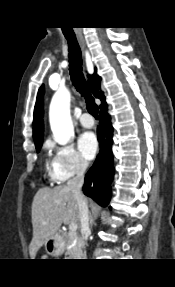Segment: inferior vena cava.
I'll return each mask as SVG.
<instances>
[{
    "mask_svg": "<svg viewBox=\"0 0 175 287\" xmlns=\"http://www.w3.org/2000/svg\"><path fill=\"white\" fill-rule=\"evenodd\" d=\"M86 167L87 164L84 161H81L77 167L76 176L67 182V187L73 192L78 204L81 233L85 239H87L88 235L90 234L88 205L81 191L84 183V173Z\"/></svg>",
    "mask_w": 175,
    "mask_h": 287,
    "instance_id": "obj_1",
    "label": "inferior vena cava"
}]
</instances>
